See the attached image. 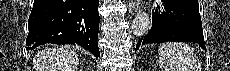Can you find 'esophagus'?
<instances>
[{"label":"esophagus","instance_id":"esophagus-1","mask_svg":"<svg viewBox=\"0 0 230 71\" xmlns=\"http://www.w3.org/2000/svg\"><path fill=\"white\" fill-rule=\"evenodd\" d=\"M140 9L139 1H129V13L131 16H134Z\"/></svg>","mask_w":230,"mask_h":71}]
</instances>
